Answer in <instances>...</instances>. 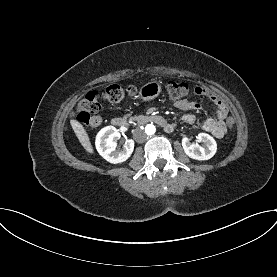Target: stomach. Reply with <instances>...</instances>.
Returning a JSON list of instances; mask_svg holds the SVG:
<instances>
[{
	"instance_id": "obj_1",
	"label": "stomach",
	"mask_w": 277,
	"mask_h": 277,
	"mask_svg": "<svg viewBox=\"0 0 277 277\" xmlns=\"http://www.w3.org/2000/svg\"><path fill=\"white\" fill-rule=\"evenodd\" d=\"M161 90L162 88L160 82L151 80L140 88L138 97L142 101H150L158 97L161 93Z\"/></svg>"
}]
</instances>
